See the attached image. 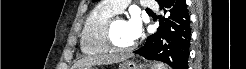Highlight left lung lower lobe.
Segmentation results:
<instances>
[{
  "instance_id": "obj_1",
  "label": "left lung lower lobe",
  "mask_w": 246,
  "mask_h": 69,
  "mask_svg": "<svg viewBox=\"0 0 246 69\" xmlns=\"http://www.w3.org/2000/svg\"><path fill=\"white\" fill-rule=\"evenodd\" d=\"M158 3L162 12L160 27L134 53L167 63L172 69H188L191 30L186 0H160Z\"/></svg>"
}]
</instances>
